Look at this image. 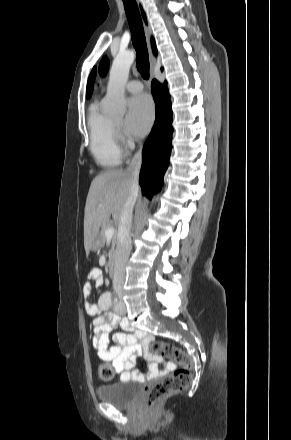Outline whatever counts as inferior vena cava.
<instances>
[{
    "label": "inferior vena cava",
    "instance_id": "602c4592",
    "mask_svg": "<svg viewBox=\"0 0 291 440\" xmlns=\"http://www.w3.org/2000/svg\"><path fill=\"white\" fill-rule=\"evenodd\" d=\"M142 163L141 149L134 155L126 172L131 177V190L122 212L118 226V242L115 253V266L113 276V289L122 304V291L125 280V267L131 251L130 229L132 212L139 191V173Z\"/></svg>",
    "mask_w": 291,
    "mask_h": 440
}]
</instances>
